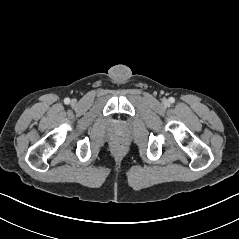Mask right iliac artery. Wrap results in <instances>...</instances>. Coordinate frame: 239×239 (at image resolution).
Listing matches in <instances>:
<instances>
[{
	"mask_svg": "<svg viewBox=\"0 0 239 239\" xmlns=\"http://www.w3.org/2000/svg\"><path fill=\"white\" fill-rule=\"evenodd\" d=\"M64 103H65V104H69V103H70V99H69V98H65V99H64Z\"/></svg>",
	"mask_w": 239,
	"mask_h": 239,
	"instance_id": "82829eb1",
	"label": "right iliac artery"
}]
</instances>
